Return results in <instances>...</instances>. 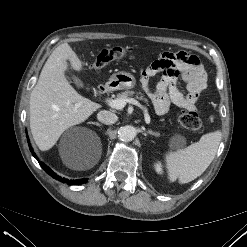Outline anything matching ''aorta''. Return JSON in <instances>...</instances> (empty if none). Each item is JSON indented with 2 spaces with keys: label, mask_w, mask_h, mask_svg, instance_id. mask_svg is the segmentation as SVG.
<instances>
[{
  "label": "aorta",
  "mask_w": 247,
  "mask_h": 247,
  "mask_svg": "<svg viewBox=\"0 0 247 247\" xmlns=\"http://www.w3.org/2000/svg\"><path fill=\"white\" fill-rule=\"evenodd\" d=\"M136 133L135 127L126 125L118 130V138L123 142H130L135 138Z\"/></svg>",
  "instance_id": "aorta-1"
}]
</instances>
